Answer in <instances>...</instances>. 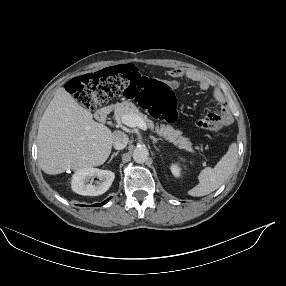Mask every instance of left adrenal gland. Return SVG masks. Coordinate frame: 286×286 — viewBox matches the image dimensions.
<instances>
[{
  "label": "left adrenal gland",
  "instance_id": "a2214340",
  "mask_svg": "<svg viewBox=\"0 0 286 286\" xmlns=\"http://www.w3.org/2000/svg\"><path fill=\"white\" fill-rule=\"evenodd\" d=\"M150 138L152 139V142H153V144H154V146H155V149L157 150V151H159V149L156 147V143L158 142V141H162V139H160V138H155L154 136H152V135H150Z\"/></svg>",
  "mask_w": 286,
  "mask_h": 286
}]
</instances>
